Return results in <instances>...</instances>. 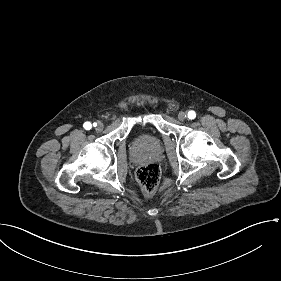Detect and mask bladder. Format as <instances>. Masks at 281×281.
<instances>
[{"mask_svg":"<svg viewBox=\"0 0 281 281\" xmlns=\"http://www.w3.org/2000/svg\"><path fill=\"white\" fill-rule=\"evenodd\" d=\"M137 117L138 118H136L135 121L138 123V125L134 126V129H139L152 123V118L149 116L137 115Z\"/></svg>","mask_w":281,"mask_h":281,"instance_id":"1","label":"bladder"}]
</instances>
